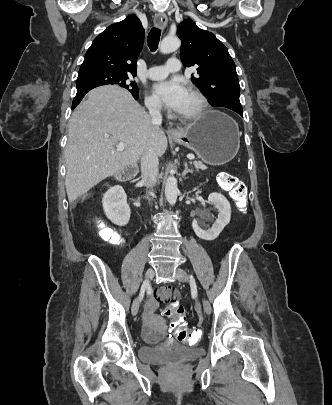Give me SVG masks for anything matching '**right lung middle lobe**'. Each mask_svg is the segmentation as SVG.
Listing matches in <instances>:
<instances>
[{
  "label": "right lung middle lobe",
  "mask_w": 332,
  "mask_h": 405,
  "mask_svg": "<svg viewBox=\"0 0 332 405\" xmlns=\"http://www.w3.org/2000/svg\"><path fill=\"white\" fill-rule=\"evenodd\" d=\"M131 76L134 75L104 71L79 74L77 78V92H82L101 85L112 84L126 88L132 95L138 96V87L134 81H130Z\"/></svg>",
  "instance_id": "right-lung-middle-lobe-1"
}]
</instances>
